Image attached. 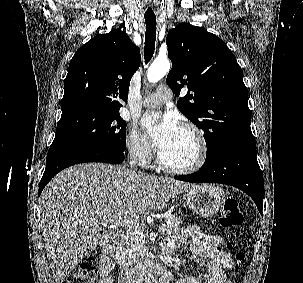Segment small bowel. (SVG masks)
<instances>
[{"label": "small bowel", "mask_w": 303, "mask_h": 283, "mask_svg": "<svg viewBox=\"0 0 303 283\" xmlns=\"http://www.w3.org/2000/svg\"><path fill=\"white\" fill-rule=\"evenodd\" d=\"M190 242L192 252L206 260L198 267V276L175 280L172 273H166L161 283H233L226 274L233 268L230 254L221 249L223 238L219 235L205 234L198 227L188 225L179 233L170 236L164 243V253L167 258L174 255L176 250ZM114 264L109 257L102 256L99 260V282L113 283L110 272Z\"/></svg>", "instance_id": "1"}]
</instances>
